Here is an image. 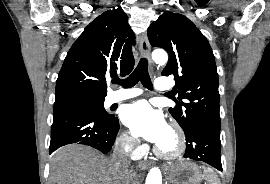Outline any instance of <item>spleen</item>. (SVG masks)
<instances>
[{
    "label": "spleen",
    "mask_w": 270,
    "mask_h": 184,
    "mask_svg": "<svg viewBox=\"0 0 270 184\" xmlns=\"http://www.w3.org/2000/svg\"><path fill=\"white\" fill-rule=\"evenodd\" d=\"M204 176L209 184H221L219 178L212 169L204 168Z\"/></svg>",
    "instance_id": "3e777b00"
}]
</instances>
